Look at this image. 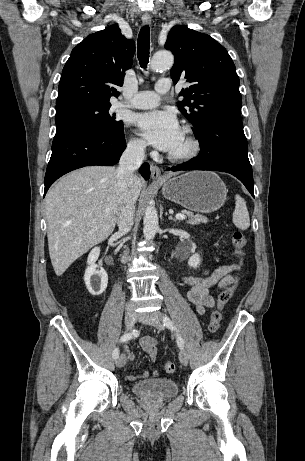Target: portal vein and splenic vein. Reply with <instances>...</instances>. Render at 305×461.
<instances>
[{"label":"portal vein and splenic vein","instance_id":"1","mask_svg":"<svg viewBox=\"0 0 305 461\" xmlns=\"http://www.w3.org/2000/svg\"><path fill=\"white\" fill-rule=\"evenodd\" d=\"M176 218L179 219V220H184L186 218V216L182 213H179V214H176Z\"/></svg>","mask_w":305,"mask_h":461}]
</instances>
